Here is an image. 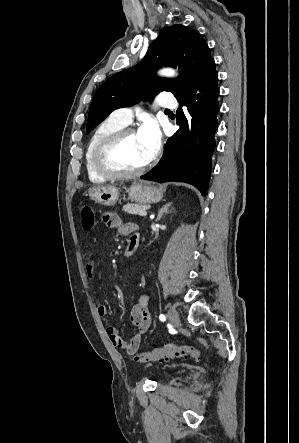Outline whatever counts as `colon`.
<instances>
[{
	"label": "colon",
	"instance_id": "colon-1",
	"mask_svg": "<svg viewBox=\"0 0 299 443\" xmlns=\"http://www.w3.org/2000/svg\"><path fill=\"white\" fill-rule=\"evenodd\" d=\"M81 227L84 231H91L95 226V213L89 205H81L79 208ZM172 357L198 359L200 351L190 345L166 344L159 348L143 351L137 354L134 360L144 363L154 360H167Z\"/></svg>",
	"mask_w": 299,
	"mask_h": 443
}]
</instances>
